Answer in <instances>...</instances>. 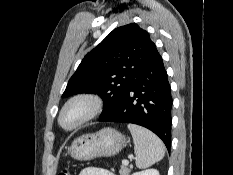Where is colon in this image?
Here are the masks:
<instances>
[{
	"label": "colon",
	"instance_id": "colon-1",
	"mask_svg": "<svg viewBox=\"0 0 233 175\" xmlns=\"http://www.w3.org/2000/svg\"><path fill=\"white\" fill-rule=\"evenodd\" d=\"M58 175H71V172L69 169L65 168Z\"/></svg>",
	"mask_w": 233,
	"mask_h": 175
}]
</instances>
